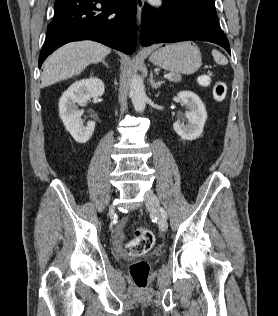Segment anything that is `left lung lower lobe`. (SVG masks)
Listing matches in <instances>:
<instances>
[{
  "label": "left lung lower lobe",
  "instance_id": "obj_1",
  "mask_svg": "<svg viewBox=\"0 0 278 316\" xmlns=\"http://www.w3.org/2000/svg\"><path fill=\"white\" fill-rule=\"evenodd\" d=\"M140 39L143 46L186 40L207 41L220 45L231 55L229 42L219 23L193 12L182 11L167 0H163L158 10L144 5Z\"/></svg>",
  "mask_w": 278,
  "mask_h": 316
}]
</instances>
